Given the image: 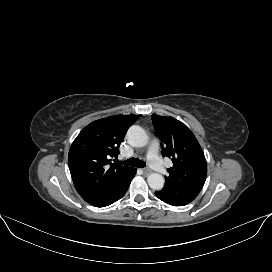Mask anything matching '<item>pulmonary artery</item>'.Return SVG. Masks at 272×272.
Returning <instances> with one entry per match:
<instances>
[{
	"label": "pulmonary artery",
	"mask_w": 272,
	"mask_h": 272,
	"mask_svg": "<svg viewBox=\"0 0 272 272\" xmlns=\"http://www.w3.org/2000/svg\"><path fill=\"white\" fill-rule=\"evenodd\" d=\"M159 142L157 140H152L148 147V161L149 164L159 173H166L167 167L162 162L159 155Z\"/></svg>",
	"instance_id": "1"
}]
</instances>
